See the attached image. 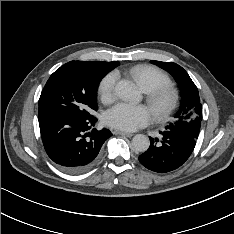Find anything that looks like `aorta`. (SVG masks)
Returning a JSON list of instances; mask_svg holds the SVG:
<instances>
[{"label": "aorta", "instance_id": "1", "mask_svg": "<svg viewBox=\"0 0 234 234\" xmlns=\"http://www.w3.org/2000/svg\"><path fill=\"white\" fill-rule=\"evenodd\" d=\"M115 94L123 101L138 102L140 94L136 86L126 80L119 81L115 86ZM132 147L138 152H145L150 146L149 138L143 134H137L132 139Z\"/></svg>", "mask_w": 234, "mask_h": 234}]
</instances>
